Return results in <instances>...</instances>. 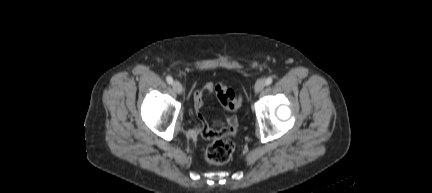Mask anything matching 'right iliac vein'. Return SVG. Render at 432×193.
I'll return each mask as SVG.
<instances>
[{
    "instance_id": "right-iliac-vein-1",
    "label": "right iliac vein",
    "mask_w": 432,
    "mask_h": 193,
    "mask_svg": "<svg viewBox=\"0 0 432 193\" xmlns=\"http://www.w3.org/2000/svg\"><path fill=\"white\" fill-rule=\"evenodd\" d=\"M172 87L173 90L177 93V94H181L183 92V87L181 85V83L179 81H174L172 83Z\"/></svg>"
}]
</instances>
